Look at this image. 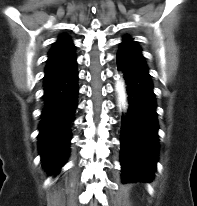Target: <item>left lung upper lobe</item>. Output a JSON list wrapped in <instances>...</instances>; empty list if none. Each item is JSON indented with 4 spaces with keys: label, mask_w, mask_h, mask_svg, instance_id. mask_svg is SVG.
I'll list each match as a JSON object with an SVG mask.
<instances>
[{
    "label": "left lung upper lobe",
    "mask_w": 197,
    "mask_h": 206,
    "mask_svg": "<svg viewBox=\"0 0 197 206\" xmlns=\"http://www.w3.org/2000/svg\"><path fill=\"white\" fill-rule=\"evenodd\" d=\"M121 46L128 48L129 50H132L134 53H136L139 57H141L144 60V57L141 54V48L136 44L135 41L130 39L129 35L124 36Z\"/></svg>",
    "instance_id": "left-lung-upper-lobe-1"
}]
</instances>
